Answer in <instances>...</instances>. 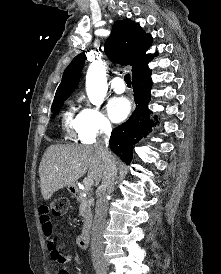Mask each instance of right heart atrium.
Instances as JSON below:
<instances>
[{"label": "right heart atrium", "mask_w": 221, "mask_h": 274, "mask_svg": "<svg viewBox=\"0 0 221 274\" xmlns=\"http://www.w3.org/2000/svg\"><path fill=\"white\" fill-rule=\"evenodd\" d=\"M112 126L102 110L94 106H85L78 115L75 137L83 143H93L110 134Z\"/></svg>", "instance_id": "d8ad5b80"}]
</instances>
